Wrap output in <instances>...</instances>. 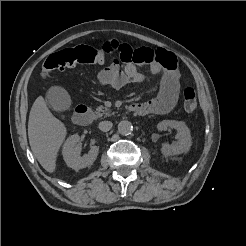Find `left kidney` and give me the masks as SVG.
Masks as SVG:
<instances>
[{
  "label": "left kidney",
  "mask_w": 246,
  "mask_h": 246,
  "mask_svg": "<svg viewBox=\"0 0 246 246\" xmlns=\"http://www.w3.org/2000/svg\"><path fill=\"white\" fill-rule=\"evenodd\" d=\"M158 130L162 131L167 128H172L177 131L175 144L169 145L167 143L162 145L161 152L164 156H173L186 153L190 150L192 145L191 133L185 122L175 120H164L158 123Z\"/></svg>",
  "instance_id": "obj_1"
}]
</instances>
